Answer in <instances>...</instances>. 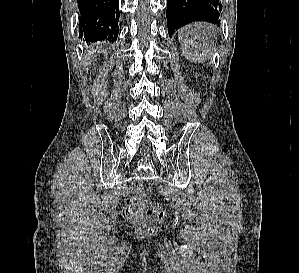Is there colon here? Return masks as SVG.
<instances>
[{
  "mask_svg": "<svg viewBox=\"0 0 299 273\" xmlns=\"http://www.w3.org/2000/svg\"><path fill=\"white\" fill-rule=\"evenodd\" d=\"M143 215L156 222H161L166 217L165 210L161 206L149 205L140 196L130 197L123 209V216L133 222L140 231H153L155 225L142 219Z\"/></svg>",
  "mask_w": 299,
  "mask_h": 273,
  "instance_id": "obj_1",
  "label": "colon"
}]
</instances>
